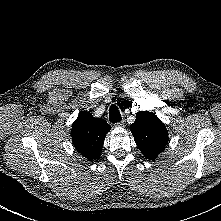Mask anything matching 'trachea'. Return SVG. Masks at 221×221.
Masks as SVG:
<instances>
[{"instance_id":"3493384b","label":"trachea","mask_w":221,"mask_h":221,"mask_svg":"<svg viewBox=\"0 0 221 221\" xmlns=\"http://www.w3.org/2000/svg\"><path fill=\"white\" fill-rule=\"evenodd\" d=\"M122 119L120 111L116 105H111L109 109V121L112 123H118Z\"/></svg>"}]
</instances>
